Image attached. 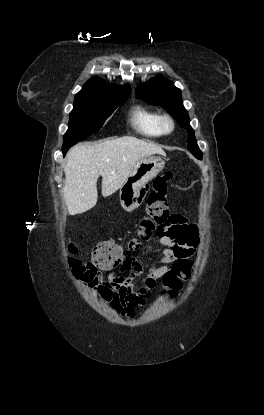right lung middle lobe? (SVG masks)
<instances>
[{"label":"right lung middle lobe","mask_w":264,"mask_h":415,"mask_svg":"<svg viewBox=\"0 0 264 415\" xmlns=\"http://www.w3.org/2000/svg\"><path fill=\"white\" fill-rule=\"evenodd\" d=\"M127 98L128 96H114L75 99L74 108L69 115V128L64 135L62 150H68L77 142L97 132L106 119Z\"/></svg>","instance_id":"1"}]
</instances>
